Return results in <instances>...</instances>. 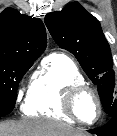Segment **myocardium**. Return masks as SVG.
Listing matches in <instances>:
<instances>
[{"label": "myocardium", "instance_id": "obj_1", "mask_svg": "<svg viewBox=\"0 0 117 136\" xmlns=\"http://www.w3.org/2000/svg\"><path fill=\"white\" fill-rule=\"evenodd\" d=\"M85 94H90L97 105V116L93 121L83 120L77 112V102L79 98ZM63 110L73 120L85 125H92L98 122L103 112L102 102L98 92L87 84L74 85L65 91L63 97Z\"/></svg>", "mask_w": 117, "mask_h": 136}]
</instances>
